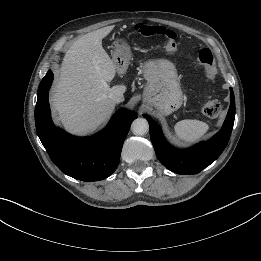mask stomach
Instances as JSON below:
<instances>
[{
    "instance_id": "0dacf381",
    "label": "stomach",
    "mask_w": 261,
    "mask_h": 261,
    "mask_svg": "<svg viewBox=\"0 0 261 261\" xmlns=\"http://www.w3.org/2000/svg\"><path fill=\"white\" fill-rule=\"evenodd\" d=\"M129 43L120 38L114 41V61L119 69L127 67L131 58ZM147 86L143 92L145 104L161 115H169L183 103V92L175 65L164 58L149 59L142 64Z\"/></svg>"
}]
</instances>
